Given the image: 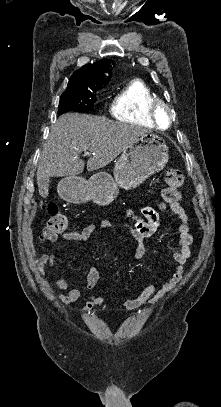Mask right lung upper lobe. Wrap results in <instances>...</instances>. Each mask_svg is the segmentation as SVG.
<instances>
[{"label": "right lung upper lobe", "mask_w": 221, "mask_h": 407, "mask_svg": "<svg viewBox=\"0 0 221 407\" xmlns=\"http://www.w3.org/2000/svg\"><path fill=\"white\" fill-rule=\"evenodd\" d=\"M114 62L102 59L96 63L84 65L75 71L68 82L67 90L102 89L110 81Z\"/></svg>", "instance_id": "cb5924a9"}]
</instances>
